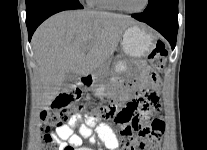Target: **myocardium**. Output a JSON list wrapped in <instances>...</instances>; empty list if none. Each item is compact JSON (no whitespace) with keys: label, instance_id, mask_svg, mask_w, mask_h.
I'll use <instances>...</instances> for the list:
<instances>
[{"label":"myocardium","instance_id":"myocardium-1","mask_svg":"<svg viewBox=\"0 0 207 150\" xmlns=\"http://www.w3.org/2000/svg\"><path fill=\"white\" fill-rule=\"evenodd\" d=\"M112 2L121 11H124V12L129 13V14H139V13H142L143 11L146 10V8L149 5L150 0H145L144 5L140 9H137V10H129V9L125 8L122 5L120 0H112Z\"/></svg>","mask_w":207,"mask_h":150}]
</instances>
